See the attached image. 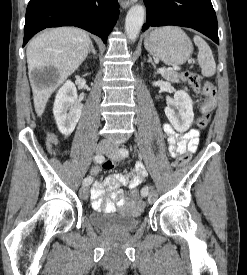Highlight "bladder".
I'll list each match as a JSON object with an SVG mask.
<instances>
[{"instance_id":"bladder-1","label":"bladder","mask_w":247,"mask_h":275,"mask_svg":"<svg viewBox=\"0 0 247 275\" xmlns=\"http://www.w3.org/2000/svg\"><path fill=\"white\" fill-rule=\"evenodd\" d=\"M140 214L141 210L134 214L97 210L89 215V221L94 226L104 230L128 233L138 227Z\"/></svg>"}]
</instances>
